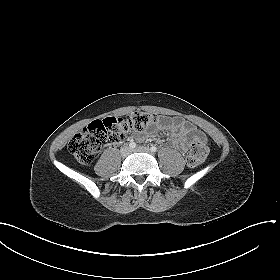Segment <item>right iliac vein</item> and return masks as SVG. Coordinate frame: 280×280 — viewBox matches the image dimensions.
Wrapping results in <instances>:
<instances>
[{"instance_id": "obj_1", "label": "right iliac vein", "mask_w": 280, "mask_h": 280, "mask_svg": "<svg viewBox=\"0 0 280 280\" xmlns=\"http://www.w3.org/2000/svg\"><path fill=\"white\" fill-rule=\"evenodd\" d=\"M131 152L130 148L128 146H124L121 148V156L122 157H126L127 155H129Z\"/></svg>"}]
</instances>
